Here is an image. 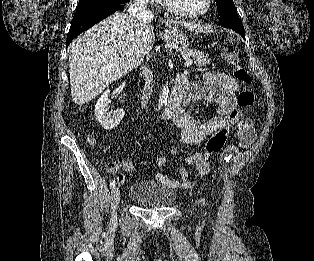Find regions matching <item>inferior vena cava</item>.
<instances>
[{"label": "inferior vena cava", "instance_id": "obj_1", "mask_svg": "<svg viewBox=\"0 0 314 261\" xmlns=\"http://www.w3.org/2000/svg\"><path fill=\"white\" fill-rule=\"evenodd\" d=\"M130 16L138 21H147L152 19V13L147 10L145 0H135L128 8ZM141 75L144 76L145 85L142 91L141 106L145 108L150 100L152 90L154 87L153 72L147 66H141Z\"/></svg>", "mask_w": 314, "mask_h": 261}]
</instances>
